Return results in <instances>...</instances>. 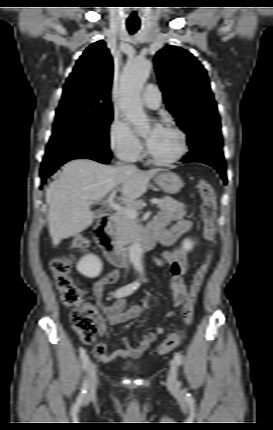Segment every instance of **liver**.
I'll list each match as a JSON object with an SVG mask.
<instances>
[{"label": "liver", "mask_w": 273, "mask_h": 430, "mask_svg": "<svg viewBox=\"0 0 273 430\" xmlns=\"http://www.w3.org/2000/svg\"><path fill=\"white\" fill-rule=\"evenodd\" d=\"M162 171H142L134 166H109L90 159H75L62 167L59 178L46 192L49 233L54 245L92 225L90 205L122 185L121 199L133 203L142 196L151 178Z\"/></svg>", "instance_id": "liver-1"}]
</instances>
